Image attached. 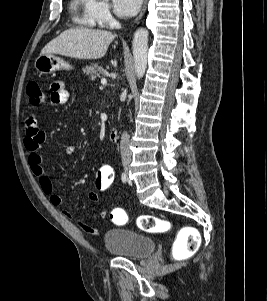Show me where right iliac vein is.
<instances>
[{
	"label": "right iliac vein",
	"instance_id": "63e3f726",
	"mask_svg": "<svg viewBox=\"0 0 267 301\" xmlns=\"http://www.w3.org/2000/svg\"><path fill=\"white\" fill-rule=\"evenodd\" d=\"M129 169H130V167H129V165H125V171L128 173V171H129Z\"/></svg>",
	"mask_w": 267,
	"mask_h": 301
}]
</instances>
